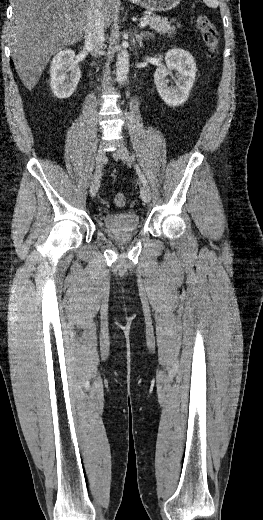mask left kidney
Instances as JSON below:
<instances>
[{"instance_id":"1","label":"left kidney","mask_w":263,"mask_h":520,"mask_svg":"<svg viewBox=\"0 0 263 520\" xmlns=\"http://www.w3.org/2000/svg\"><path fill=\"white\" fill-rule=\"evenodd\" d=\"M166 67L156 69L154 82L164 102L171 107L185 103L196 77V64L192 55L182 49L169 50L165 55ZM175 73V87L168 86L167 76Z\"/></svg>"}]
</instances>
